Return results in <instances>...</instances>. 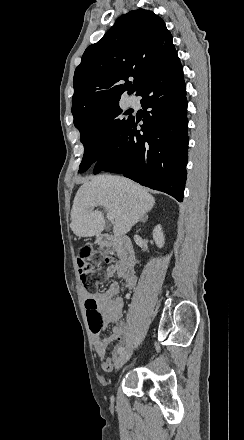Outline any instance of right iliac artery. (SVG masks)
<instances>
[{"instance_id":"1","label":"right iliac artery","mask_w":244,"mask_h":440,"mask_svg":"<svg viewBox=\"0 0 244 440\" xmlns=\"http://www.w3.org/2000/svg\"><path fill=\"white\" fill-rule=\"evenodd\" d=\"M125 348L124 347H120L118 349V354H122L124 352Z\"/></svg>"}]
</instances>
